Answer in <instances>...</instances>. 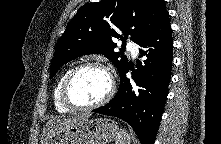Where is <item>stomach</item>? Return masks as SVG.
Masks as SVG:
<instances>
[{"label":"stomach","instance_id":"obj_1","mask_svg":"<svg viewBox=\"0 0 221 144\" xmlns=\"http://www.w3.org/2000/svg\"><path fill=\"white\" fill-rule=\"evenodd\" d=\"M118 134L119 127L110 118L86 119L56 132L45 144H107Z\"/></svg>","mask_w":221,"mask_h":144}]
</instances>
